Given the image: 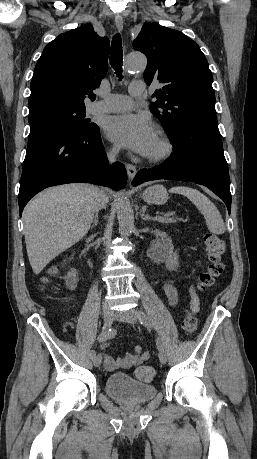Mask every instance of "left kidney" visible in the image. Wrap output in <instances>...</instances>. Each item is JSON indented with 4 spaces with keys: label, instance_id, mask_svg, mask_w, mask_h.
I'll list each match as a JSON object with an SVG mask.
<instances>
[{
    "label": "left kidney",
    "instance_id": "1",
    "mask_svg": "<svg viewBox=\"0 0 257 459\" xmlns=\"http://www.w3.org/2000/svg\"><path fill=\"white\" fill-rule=\"evenodd\" d=\"M166 252H167V256H166V260H165L166 268L169 269V270H176V268L179 265L177 253L173 252V249H172L171 246L167 247Z\"/></svg>",
    "mask_w": 257,
    "mask_h": 459
}]
</instances>
